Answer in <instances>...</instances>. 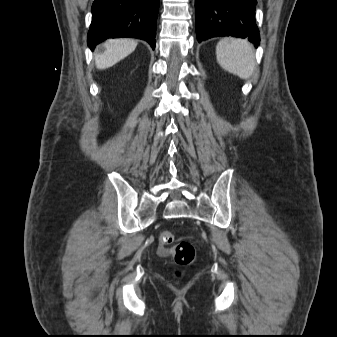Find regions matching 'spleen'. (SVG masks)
I'll return each instance as SVG.
<instances>
[{"label":"spleen","instance_id":"1","mask_svg":"<svg viewBox=\"0 0 337 337\" xmlns=\"http://www.w3.org/2000/svg\"><path fill=\"white\" fill-rule=\"evenodd\" d=\"M216 57L224 70L241 79H248L254 72L255 53L247 40L232 37L221 39L216 46Z\"/></svg>","mask_w":337,"mask_h":337}]
</instances>
